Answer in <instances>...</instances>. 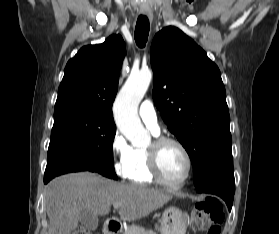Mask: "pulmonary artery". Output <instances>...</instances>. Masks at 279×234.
<instances>
[{
	"mask_svg": "<svg viewBox=\"0 0 279 234\" xmlns=\"http://www.w3.org/2000/svg\"><path fill=\"white\" fill-rule=\"evenodd\" d=\"M139 115L145 125L154 133L160 132L158 125L157 113L153 102L150 99H146L142 102L139 108Z\"/></svg>",
	"mask_w": 279,
	"mask_h": 234,
	"instance_id": "pulmonary-artery-1",
	"label": "pulmonary artery"
}]
</instances>
